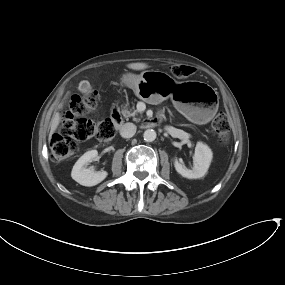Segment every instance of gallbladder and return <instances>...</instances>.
<instances>
[{
	"instance_id": "obj_1",
	"label": "gallbladder",
	"mask_w": 285,
	"mask_h": 285,
	"mask_svg": "<svg viewBox=\"0 0 285 285\" xmlns=\"http://www.w3.org/2000/svg\"><path fill=\"white\" fill-rule=\"evenodd\" d=\"M79 89H80V91H81L82 93L87 94V93L90 92L91 86H90L89 82H87V81H82V82L80 83Z\"/></svg>"
}]
</instances>
